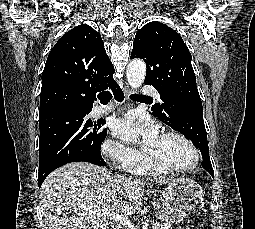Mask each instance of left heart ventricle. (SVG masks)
Returning a JSON list of instances; mask_svg holds the SVG:
<instances>
[{
    "label": "left heart ventricle",
    "instance_id": "obj_1",
    "mask_svg": "<svg viewBox=\"0 0 255 229\" xmlns=\"http://www.w3.org/2000/svg\"><path fill=\"white\" fill-rule=\"evenodd\" d=\"M145 154L156 162L171 167H183L193 160L191 149L179 138L160 135L156 142L144 149Z\"/></svg>",
    "mask_w": 255,
    "mask_h": 229
}]
</instances>
